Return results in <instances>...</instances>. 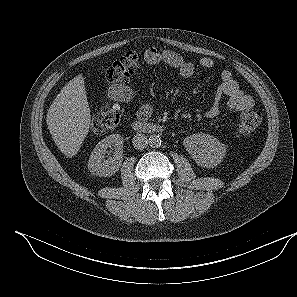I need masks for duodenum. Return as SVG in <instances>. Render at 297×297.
<instances>
[{
    "label": "duodenum",
    "instance_id": "410a0bca",
    "mask_svg": "<svg viewBox=\"0 0 297 297\" xmlns=\"http://www.w3.org/2000/svg\"><path fill=\"white\" fill-rule=\"evenodd\" d=\"M132 128L140 133H161L164 128L158 123H148L141 120L133 122Z\"/></svg>",
    "mask_w": 297,
    "mask_h": 297
}]
</instances>
